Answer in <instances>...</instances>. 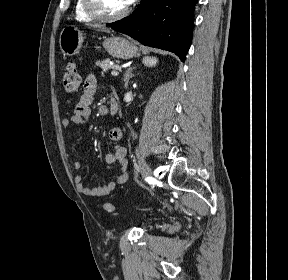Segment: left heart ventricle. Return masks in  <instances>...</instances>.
I'll list each match as a JSON object with an SVG mask.
<instances>
[{
	"label": "left heart ventricle",
	"mask_w": 288,
	"mask_h": 280,
	"mask_svg": "<svg viewBox=\"0 0 288 280\" xmlns=\"http://www.w3.org/2000/svg\"><path fill=\"white\" fill-rule=\"evenodd\" d=\"M106 14H117L126 8L124 0H97Z\"/></svg>",
	"instance_id": "obj_1"
}]
</instances>
